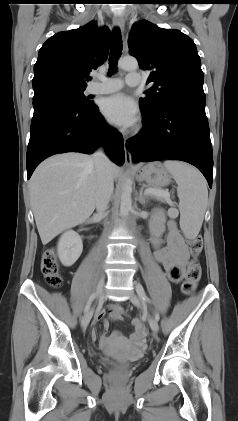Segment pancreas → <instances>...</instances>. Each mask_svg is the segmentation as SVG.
Returning a JSON list of instances; mask_svg holds the SVG:
<instances>
[{
    "label": "pancreas",
    "mask_w": 238,
    "mask_h": 421,
    "mask_svg": "<svg viewBox=\"0 0 238 421\" xmlns=\"http://www.w3.org/2000/svg\"><path fill=\"white\" fill-rule=\"evenodd\" d=\"M150 197L152 199L158 200L160 202H163V203H167L169 205H172V201L170 199V196L169 197H163V196L150 195Z\"/></svg>",
    "instance_id": "cf45deb5"
}]
</instances>
